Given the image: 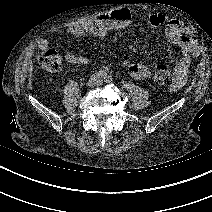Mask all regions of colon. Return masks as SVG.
I'll list each match as a JSON object with an SVG mask.
<instances>
[{
	"label": "colon",
	"mask_w": 212,
	"mask_h": 212,
	"mask_svg": "<svg viewBox=\"0 0 212 212\" xmlns=\"http://www.w3.org/2000/svg\"><path fill=\"white\" fill-rule=\"evenodd\" d=\"M40 66L48 71L57 72L61 69L62 58L55 50H45L37 57ZM151 80L159 85L168 86L172 83V73L168 65L157 63L151 71Z\"/></svg>",
	"instance_id": "obj_1"
}]
</instances>
